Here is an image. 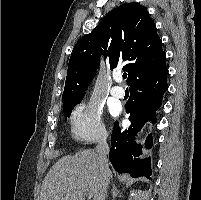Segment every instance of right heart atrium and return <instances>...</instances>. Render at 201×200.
I'll list each match as a JSON object with an SVG mask.
<instances>
[{
  "instance_id": "right-heart-atrium-1",
  "label": "right heart atrium",
  "mask_w": 201,
  "mask_h": 200,
  "mask_svg": "<svg viewBox=\"0 0 201 200\" xmlns=\"http://www.w3.org/2000/svg\"><path fill=\"white\" fill-rule=\"evenodd\" d=\"M70 126L71 134L77 140L100 142L107 137L101 109L93 102L82 103L73 110Z\"/></svg>"
}]
</instances>
